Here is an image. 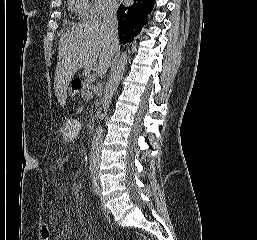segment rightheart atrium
<instances>
[{
	"label": "right heart atrium",
	"mask_w": 257,
	"mask_h": 240,
	"mask_svg": "<svg viewBox=\"0 0 257 240\" xmlns=\"http://www.w3.org/2000/svg\"><path fill=\"white\" fill-rule=\"evenodd\" d=\"M118 5L116 0H92L90 2V9L88 17L102 18L113 14Z\"/></svg>",
	"instance_id": "obj_1"
}]
</instances>
